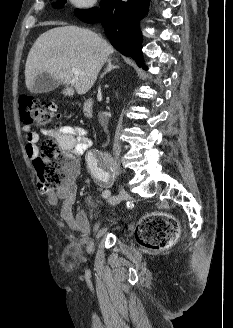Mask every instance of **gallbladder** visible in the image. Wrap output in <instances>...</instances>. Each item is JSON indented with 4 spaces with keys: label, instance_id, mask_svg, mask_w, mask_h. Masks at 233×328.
<instances>
[{
    "label": "gallbladder",
    "instance_id": "obj_1",
    "mask_svg": "<svg viewBox=\"0 0 233 328\" xmlns=\"http://www.w3.org/2000/svg\"><path fill=\"white\" fill-rule=\"evenodd\" d=\"M59 86V82L47 73H39L29 89L33 93H48Z\"/></svg>",
    "mask_w": 233,
    "mask_h": 328
}]
</instances>
